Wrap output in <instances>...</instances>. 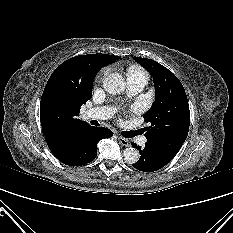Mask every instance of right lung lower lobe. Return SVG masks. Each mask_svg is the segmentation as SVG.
Here are the masks:
<instances>
[{
	"mask_svg": "<svg viewBox=\"0 0 233 233\" xmlns=\"http://www.w3.org/2000/svg\"><path fill=\"white\" fill-rule=\"evenodd\" d=\"M112 135V131L107 128L87 125L76 133L72 142L64 150L53 154L66 165H84L95 159L97 143L101 139L109 138Z\"/></svg>",
	"mask_w": 233,
	"mask_h": 233,
	"instance_id": "obj_1",
	"label": "right lung lower lobe"
}]
</instances>
